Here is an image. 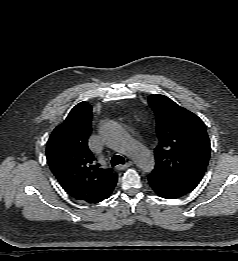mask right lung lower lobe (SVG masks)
<instances>
[{"label":"right lung lower lobe","instance_id":"98d812e1","mask_svg":"<svg viewBox=\"0 0 238 261\" xmlns=\"http://www.w3.org/2000/svg\"><path fill=\"white\" fill-rule=\"evenodd\" d=\"M112 191H113V190H112ZM112 191H111L105 198H103L102 200L108 198V197L110 196V194L112 193ZM102 200H98V202H100V201H102Z\"/></svg>","mask_w":238,"mask_h":261}]
</instances>
